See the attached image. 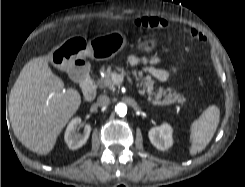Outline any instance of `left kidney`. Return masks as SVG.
Returning <instances> with one entry per match:
<instances>
[{
	"label": "left kidney",
	"instance_id": "5707ae66",
	"mask_svg": "<svg viewBox=\"0 0 245 187\" xmlns=\"http://www.w3.org/2000/svg\"><path fill=\"white\" fill-rule=\"evenodd\" d=\"M173 129L168 123H163L161 126L153 127L149 131V139L151 143L161 151L168 150L172 144Z\"/></svg>",
	"mask_w": 245,
	"mask_h": 187
}]
</instances>
